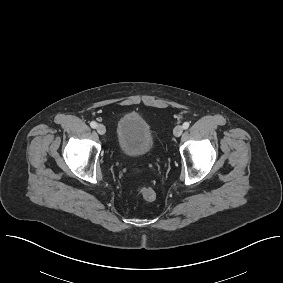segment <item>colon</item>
<instances>
[{
	"mask_svg": "<svg viewBox=\"0 0 283 283\" xmlns=\"http://www.w3.org/2000/svg\"><path fill=\"white\" fill-rule=\"evenodd\" d=\"M139 194L147 201L156 199L157 193L153 186L148 183H141L137 186Z\"/></svg>",
	"mask_w": 283,
	"mask_h": 283,
	"instance_id": "colon-1",
	"label": "colon"
}]
</instances>
